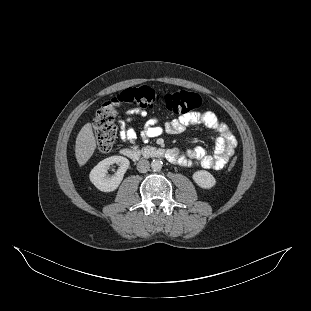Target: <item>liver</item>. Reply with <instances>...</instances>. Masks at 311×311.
<instances>
[{"instance_id":"6515ba94","label":"liver","mask_w":311,"mask_h":311,"mask_svg":"<svg viewBox=\"0 0 311 311\" xmlns=\"http://www.w3.org/2000/svg\"><path fill=\"white\" fill-rule=\"evenodd\" d=\"M96 149V140L91 123L85 124L76 138L75 156L80 166L86 164Z\"/></svg>"}]
</instances>
